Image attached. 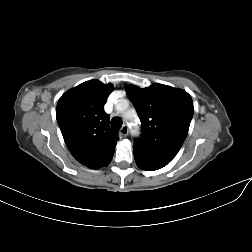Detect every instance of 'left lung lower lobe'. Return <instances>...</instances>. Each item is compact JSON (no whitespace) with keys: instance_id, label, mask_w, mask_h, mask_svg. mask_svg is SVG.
<instances>
[{"instance_id":"0a47b994","label":"left lung lower lobe","mask_w":252,"mask_h":252,"mask_svg":"<svg viewBox=\"0 0 252 252\" xmlns=\"http://www.w3.org/2000/svg\"><path fill=\"white\" fill-rule=\"evenodd\" d=\"M134 149V158L139 168L147 171H154L163 168L169 161L145 153L137 148Z\"/></svg>"}]
</instances>
